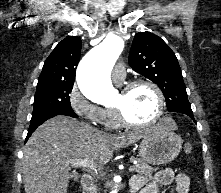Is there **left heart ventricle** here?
I'll return each instance as SVG.
<instances>
[{
  "label": "left heart ventricle",
  "instance_id": "left-heart-ventricle-1",
  "mask_svg": "<svg viewBox=\"0 0 221 193\" xmlns=\"http://www.w3.org/2000/svg\"><path fill=\"white\" fill-rule=\"evenodd\" d=\"M115 106L122 107L131 121L146 123L156 113L157 98L151 87L141 85L127 93L120 92Z\"/></svg>",
  "mask_w": 221,
  "mask_h": 193
}]
</instances>
